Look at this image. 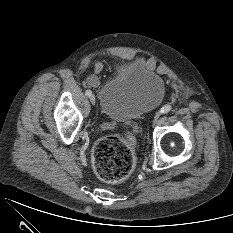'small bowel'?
<instances>
[{
	"instance_id": "1",
	"label": "small bowel",
	"mask_w": 233,
	"mask_h": 233,
	"mask_svg": "<svg viewBox=\"0 0 233 233\" xmlns=\"http://www.w3.org/2000/svg\"><path fill=\"white\" fill-rule=\"evenodd\" d=\"M103 69V65L98 62L96 65H95V71L96 73H100ZM99 82V78L97 75H91L88 79H87V83L90 85V86H97Z\"/></svg>"
}]
</instances>
